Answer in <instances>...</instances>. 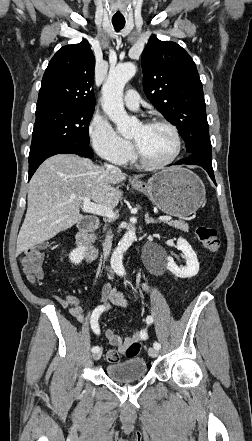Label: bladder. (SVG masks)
I'll return each instance as SVG.
<instances>
[{
  "label": "bladder",
  "mask_w": 252,
  "mask_h": 441,
  "mask_svg": "<svg viewBox=\"0 0 252 441\" xmlns=\"http://www.w3.org/2000/svg\"><path fill=\"white\" fill-rule=\"evenodd\" d=\"M105 371L110 379L127 383L143 378L147 373V363L141 357L130 358L119 363L108 364Z\"/></svg>",
  "instance_id": "obj_1"
}]
</instances>
